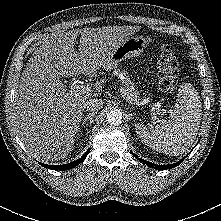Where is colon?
Instances as JSON below:
<instances>
[{"instance_id":"1","label":"colon","mask_w":221,"mask_h":221,"mask_svg":"<svg viewBox=\"0 0 221 221\" xmlns=\"http://www.w3.org/2000/svg\"><path fill=\"white\" fill-rule=\"evenodd\" d=\"M159 87L164 91H169L178 76V59L175 52L170 47H164L158 60Z\"/></svg>"}]
</instances>
